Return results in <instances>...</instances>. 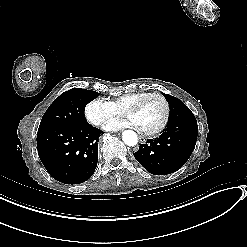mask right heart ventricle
I'll return each mask as SVG.
<instances>
[{"mask_svg":"<svg viewBox=\"0 0 247 247\" xmlns=\"http://www.w3.org/2000/svg\"><path fill=\"white\" fill-rule=\"evenodd\" d=\"M146 93L149 92L140 91L126 94L122 97L117 98L114 104L116 105V107L131 106L136 99L143 97Z\"/></svg>","mask_w":247,"mask_h":247,"instance_id":"e07e8e85","label":"right heart ventricle"}]
</instances>
